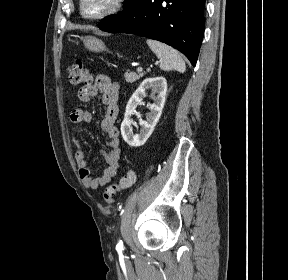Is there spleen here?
Wrapping results in <instances>:
<instances>
[{
	"instance_id": "3e777b00",
	"label": "spleen",
	"mask_w": 288,
	"mask_h": 280,
	"mask_svg": "<svg viewBox=\"0 0 288 280\" xmlns=\"http://www.w3.org/2000/svg\"><path fill=\"white\" fill-rule=\"evenodd\" d=\"M146 42L150 49L160 59L161 69L166 71L174 69L179 72H185V62L175 49L156 40L148 39Z\"/></svg>"
}]
</instances>
